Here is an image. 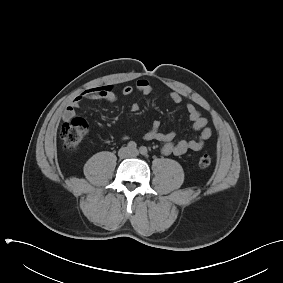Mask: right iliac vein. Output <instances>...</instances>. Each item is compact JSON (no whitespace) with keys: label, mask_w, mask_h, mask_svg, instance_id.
Segmentation results:
<instances>
[{"label":"right iliac vein","mask_w":283,"mask_h":283,"mask_svg":"<svg viewBox=\"0 0 283 283\" xmlns=\"http://www.w3.org/2000/svg\"><path fill=\"white\" fill-rule=\"evenodd\" d=\"M130 154V149L128 147H123L119 150V155L121 157H126Z\"/></svg>","instance_id":"1"}]
</instances>
